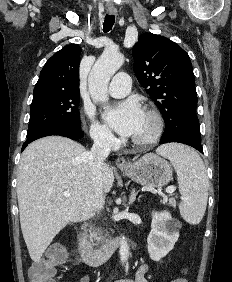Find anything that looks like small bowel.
<instances>
[{"label": "small bowel", "instance_id": "small-bowel-1", "mask_svg": "<svg viewBox=\"0 0 232 282\" xmlns=\"http://www.w3.org/2000/svg\"><path fill=\"white\" fill-rule=\"evenodd\" d=\"M147 271H148V265L143 264L137 269L134 279H127L124 280L123 282H149L148 279L146 278ZM79 282H91V280L90 277L86 275L83 276Z\"/></svg>", "mask_w": 232, "mask_h": 282}]
</instances>
